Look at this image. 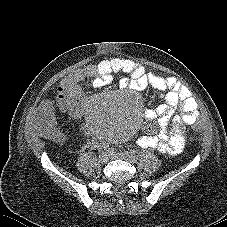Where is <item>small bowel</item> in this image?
<instances>
[{
    "mask_svg": "<svg viewBox=\"0 0 227 227\" xmlns=\"http://www.w3.org/2000/svg\"><path fill=\"white\" fill-rule=\"evenodd\" d=\"M121 72L127 74L120 81L121 87L143 90L153 86L163 99L162 104L145 111L144 119L155 121V124L138 137V145L169 155L179 154L185 145V127L194 124L198 119L197 101L190 90L177 79L147 72L144 66L137 62L126 59L105 60L69 74L61 80L57 88L60 105L69 109L71 100L84 98L81 86L84 80L91 79L95 88H102ZM52 109L50 102H44L40 107L44 115L51 114ZM178 109L180 114L174 116Z\"/></svg>",
    "mask_w": 227,
    "mask_h": 227,
    "instance_id": "obj_1",
    "label": "small bowel"
}]
</instances>
